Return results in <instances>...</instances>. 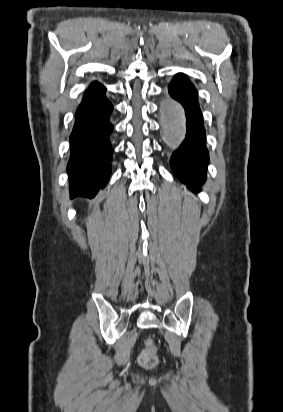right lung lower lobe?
Listing matches in <instances>:
<instances>
[{
	"mask_svg": "<svg viewBox=\"0 0 283 412\" xmlns=\"http://www.w3.org/2000/svg\"><path fill=\"white\" fill-rule=\"evenodd\" d=\"M105 88L94 82L75 114L70 136L71 157L67 166L71 197L93 198L111 174L113 149L110 121L113 105L105 97Z\"/></svg>",
	"mask_w": 283,
	"mask_h": 412,
	"instance_id": "98d812e1",
	"label": "right lung lower lobe"
}]
</instances>
